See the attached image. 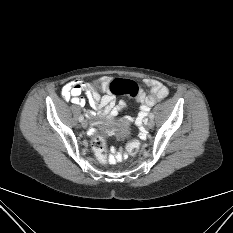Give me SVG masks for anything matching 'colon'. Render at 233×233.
<instances>
[{
    "mask_svg": "<svg viewBox=\"0 0 233 233\" xmlns=\"http://www.w3.org/2000/svg\"><path fill=\"white\" fill-rule=\"evenodd\" d=\"M109 91L113 95H127L137 97L139 93L138 84L130 79L116 78L109 84ZM91 147L97 159L105 163L107 161V150L104 139L100 135H94L91 139ZM140 149V143L137 140H132L127 145L129 154H136Z\"/></svg>",
    "mask_w": 233,
    "mask_h": 233,
    "instance_id": "obj_1",
    "label": "colon"
}]
</instances>
